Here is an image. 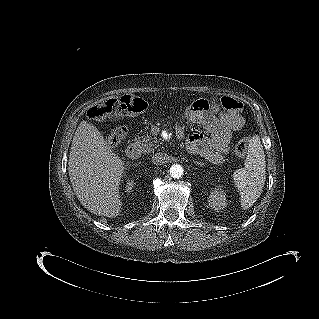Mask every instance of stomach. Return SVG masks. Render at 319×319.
<instances>
[{"label":"stomach","instance_id":"0dacf381","mask_svg":"<svg viewBox=\"0 0 319 319\" xmlns=\"http://www.w3.org/2000/svg\"><path fill=\"white\" fill-rule=\"evenodd\" d=\"M204 108L200 106L199 102H193L186 109V117L191 122H197L201 119L202 114L204 113Z\"/></svg>","mask_w":319,"mask_h":319}]
</instances>
